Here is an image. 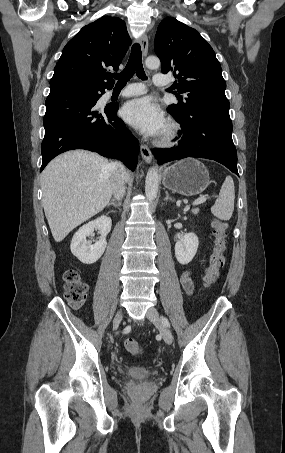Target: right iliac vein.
I'll return each instance as SVG.
<instances>
[{"label": "right iliac vein", "mask_w": 285, "mask_h": 453, "mask_svg": "<svg viewBox=\"0 0 285 453\" xmlns=\"http://www.w3.org/2000/svg\"><path fill=\"white\" fill-rule=\"evenodd\" d=\"M121 320H122V312L119 311V312L117 313V315L115 316V318H114L113 326H114L115 328H117V327L119 326Z\"/></svg>", "instance_id": "63e3f726"}]
</instances>
